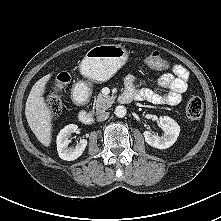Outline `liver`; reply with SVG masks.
I'll list each match as a JSON object with an SVG mask.
<instances>
[{
	"label": "liver",
	"instance_id": "obj_1",
	"mask_svg": "<svg viewBox=\"0 0 221 221\" xmlns=\"http://www.w3.org/2000/svg\"><path fill=\"white\" fill-rule=\"evenodd\" d=\"M51 74L39 79L32 87L26 101L25 115L29 127L38 141L48 147L52 140V111L43 95Z\"/></svg>",
	"mask_w": 221,
	"mask_h": 221
}]
</instances>
